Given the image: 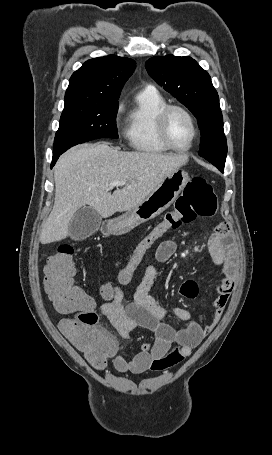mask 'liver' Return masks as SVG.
<instances>
[{
    "label": "liver",
    "instance_id": "obj_1",
    "mask_svg": "<svg viewBox=\"0 0 272 455\" xmlns=\"http://www.w3.org/2000/svg\"><path fill=\"white\" fill-rule=\"evenodd\" d=\"M187 162L186 155L123 152L107 143L84 144L68 150L55 165V201L40 233V242L49 244L65 239L73 215L86 205L103 218L135 208L168 174ZM123 180L127 184L111 195L109 184Z\"/></svg>",
    "mask_w": 272,
    "mask_h": 455
}]
</instances>
